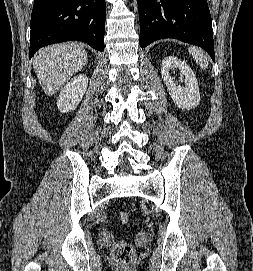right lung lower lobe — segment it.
<instances>
[{
	"label": "right lung lower lobe",
	"mask_w": 253,
	"mask_h": 271,
	"mask_svg": "<svg viewBox=\"0 0 253 271\" xmlns=\"http://www.w3.org/2000/svg\"><path fill=\"white\" fill-rule=\"evenodd\" d=\"M105 0H35L31 15L30 58L49 44L81 40L104 50Z\"/></svg>",
	"instance_id": "obj_1"
}]
</instances>
